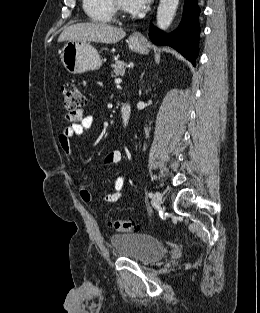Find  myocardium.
Wrapping results in <instances>:
<instances>
[{
	"label": "myocardium",
	"mask_w": 260,
	"mask_h": 313,
	"mask_svg": "<svg viewBox=\"0 0 260 313\" xmlns=\"http://www.w3.org/2000/svg\"><path fill=\"white\" fill-rule=\"evenodd\" d=\"M111 6L113 8V11L121 16H126L127 11L124 9L118 0H110Z\"/></svg>",
	"instance_id": "obj_1"
}]
</instances>
